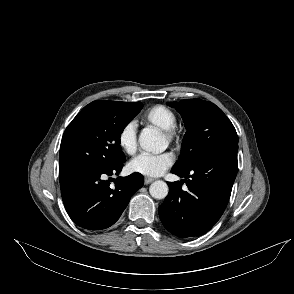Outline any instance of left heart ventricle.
I'll return each instance as SVG.
<instances>
[{
  "mask_svg": "<svg viewBox=\"0 0 294 294\" xmlns=\"http://www.w3.org/2000/svg\"><path fill=\"white\" fill-rule=\"evenodd\" d=\"M164 141L166 142V139L163 137Z\"/></svg>",
  "mask_w": 294,
  "mask_h": 294,
  "instance_id": "obj_1",
  "label": "left heart ventricle"
}]
</instances>
